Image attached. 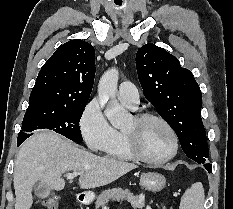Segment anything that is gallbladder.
I'll use <instances>...</instances> for the list:
<instances>
[{
    "label": "gallbladder",
    "mask_w": 233,
    "mask_h": 209,
    "mask_svg": "<svg viewBox=\"0 0 233 209\" xmlns=\"http://www.w3.org/2000/svg\"><path fill=\"white\" fill-rule=\"evenodd\" d=\"M33 190L35 195L41 199L47 198L51 194V189L40 182L34 185Z\"/></svg>",
    "instance_id": "bac80fb5"
}]
</instances>
